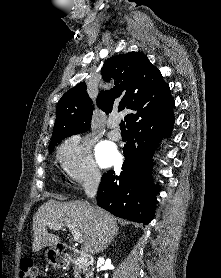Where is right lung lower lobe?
I'll return each instance as SVG.
<instances>
[{
  "label": "right lung lower lobe",
  "instance_id": "98d812e1",
  "mask_svg": "<svg viewBox=\"0 0 221 278\" xmlns=\"http://www.w3.org/2000/svg\"><path fill=\"white\" fill-rule=\"evenodd\" d=\"M173 107L128 128L122 171L102 176L97 204L117 217L147 225L155 215L159 187L151 181L152 155L174 124Z\"/></svg>",
  "mask_w": 221,
  "mask_h": 278
}]
</instances>
